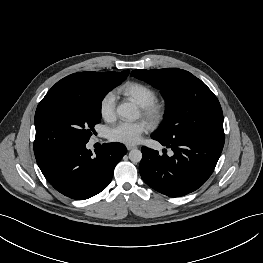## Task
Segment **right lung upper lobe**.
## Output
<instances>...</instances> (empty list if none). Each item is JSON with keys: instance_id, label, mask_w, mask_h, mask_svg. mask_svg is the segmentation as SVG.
Returning a JSON list of instances; mask_svg holds the SVG:
<instances>
[{"instance_id": "cb5924a9", "label": "right lung upper lobe", "mask_w": 263, "mask_h": 263, "mask_svg": "<svg viewBox=\"0 0 263 263\" xmlns=\"http://www.w3.org/2000/svg\"><path fill=\"white\" fill-rule=\"evenodd\" d=\"M129 70L118 72H94V71H87V72H80L71 74L60 81H58L47 94L54 93V92H61V91H70L77 89L83 86L85 83L105 75L111 74H120V75H129Z\"/></svg>"}]
</instances>
